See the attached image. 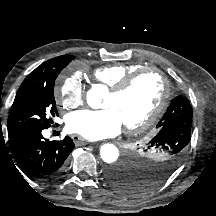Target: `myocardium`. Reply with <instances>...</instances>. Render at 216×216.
I'll list each match as a JSON object with an SVG mask.
<instances>
[{
    "label": "myocardium",
    "instance_id": "1",
    "mask_svg": "<svg viewBox=\"0 0 216 216\" xmlns=\"http://www.w3.org/2000/svg\"><path fill=\"white\" fill-rule=\"evenodd\" d=\"M147 72H155L156 74L159 75L163 84V93L155 109L144 120H142L141 122L135 125L124 126V130L128 134L141 133L149 129L161 117L168 104L171 95L169 80L164 74V72L159 68L142 67L125 76L124 78L121 79L120 82H118L115 86L109 89V93L111 95L114 96L121 95L131 87V85L139 76Z\"/></svg>",
    "mask_w": 216,
    "mask_h": 216
}]
</instances>
